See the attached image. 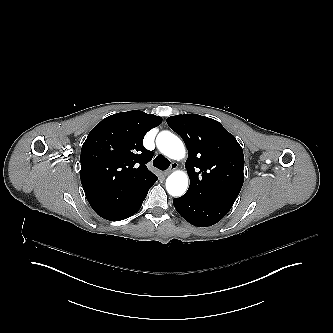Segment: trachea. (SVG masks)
Masks as SVG:
<instances>
[{
  "instance_id": "3493384b",
  "label": "trachea",
  "mask_w": 333,
  "mask_h": 333,
  "mask_svg": "<svg viewBox=\"0 0 333 333\" xmlns=\"http://www.w3.org/2000/svg\"><path fill=\"white\" fill-rule=\"evenodd\" d=\"M153 165L156 168L164 171L170 166V161L167 158H165L164 156L159 155L154 159Z\"/></svg>"
}]
</instances>
